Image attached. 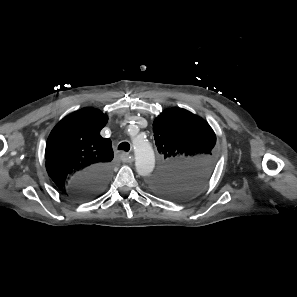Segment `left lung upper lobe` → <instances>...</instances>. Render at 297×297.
<instances>
[{
    "label": "left lung upper lobe",
    "instance_id": "5c2ea615",
    "mask_svg": "<svg viewBox=\"0 0 297 297\" xmlns=\"http://www.w3.org/2000/svg\"><path fill=\"white\" fill-rule=\"evenodd\" d=\"M161 165L150 186L171 199L188 197L208 180L214 166L216 135L200 117L181 109L162 112L153 123Z\"/></svg>",
    "mask_w": 297,
    "mask_h": 297
}]
</instances>
